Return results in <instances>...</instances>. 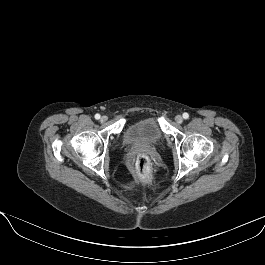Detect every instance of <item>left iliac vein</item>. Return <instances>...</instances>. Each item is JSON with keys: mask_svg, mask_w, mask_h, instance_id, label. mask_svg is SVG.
<instances>
[{"mask_svg": "<svg viewBox=\"0 0 265 265\" xmlns=\"http://www.w3.org/2000/svg\"><path fill=\"white\" fill-rule=\"evenodd\" d=\"M175 121H176L177 123L181 124V123L183 122V117H182L181 115H177V116L175 117Z\"/></svg>", "mask_w": 265, "mask_h": 265, "instance_id": "left-iliac-vein-1", "label": "left iliac vein"}]
</instances>
